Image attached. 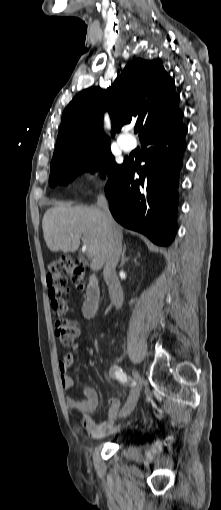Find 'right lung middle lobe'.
Wrapping results in <instances>:
<instances>
[{
    "mask_svg": "<svg viewBox=\"0 0 221 510\" xmlns=\"http://www.w3.org/2000/svg\"><path fill=\"white\" fill-rule=\"evenodd\" d=\"M122 165V164H121ZM114 161L109 144L77 148L51 161L49 184H67L84 171L107 172L108 181L112 180L121 168Z\"/></svg>",
    "mask_w": 221,
    "mask_h": 510,
    "instance_id": "1",
    "label": "right lung middle lobe"
}]
</instances>
